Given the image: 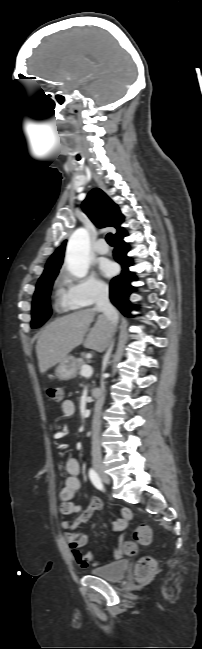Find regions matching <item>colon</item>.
Segmentation results:
<instances>
[{
	"label": "colon",
	"mask_w": 202,
	"mask_h": 649,
	"mask_svg": "<svg viewBox=\"0 0 202 649\" xmlns=\"http://www.w3.org/2000/svg\"><path fill=\"white\" fill-rule=\"evenodd\" d=\"M49 399L61 402L64 397L63 389L58 386H50L46 389ZM151 541V529L147 525H139L133 532L132 538L123 545V553L130 555L136 552L138 545H147ZM156 563L151 558L141 559L135 569L136 578L140 581L146 580L155 572Z\"/></svg>",
	"instance_id": "5ec220e1"
}]
</instances>
